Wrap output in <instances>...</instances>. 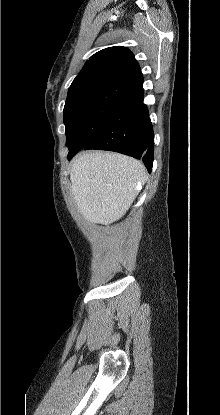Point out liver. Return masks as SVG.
<instances>
[{
	"label": "liver",
	"mask_w": 220,
	"mask_h": 415,
	"mask_svg": "<svg viewBox=\"0 0 220 415\" xmlns=\"http://www.w3.org/2000/svg\"><path fill=\"white\" fill-rule=\"evenodd\" d=\"M146 178L144 165L132 157L83 152L72 164L71 192L86 221L109 225L126 214Z\"/></svg>",
	"instance_id": "liver-1"
}]
</instances>
